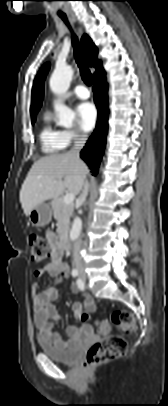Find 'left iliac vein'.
Segmentation results:
<instances>
[{
    "label": "left iliac vein",
    "instance_id": "4c4485c4",
    "mask_svg": "<svg viewBox=\"0 0 168 406\" xmlns=\"http://www.w3.org/2000/svg\"><path fill=\"white\" fill-rule=\"evenodd\" d=\"M80 278H81V280L83 281V283H85V281H86V274H85L84 272H81Z\"/></svg>",
    "mask_w": 168,
    "mask_h": 406
}]
</instances>
